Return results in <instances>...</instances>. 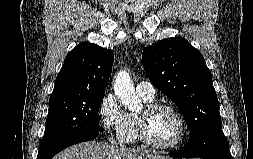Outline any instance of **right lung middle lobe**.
Returning <instances> with one entry per match:
<instances>
[{
    "mask_svg": "<svg viewBox=\"0 0 253 159\" xmlns=\"http://www.w3.org/2000/svg\"><path fill=\"white\" fill-rule=\"evenodd\" d=\"M105 93L81 92L49 100L46 129L38 155L58 142L81 133H98V111Z\"/></svg>",
    "mask_w": 253,
    "mask_h": 159,
    "instance_id": "dd1d6c3e",
    "label": "right lung middle lobe"
}]
</instances>
